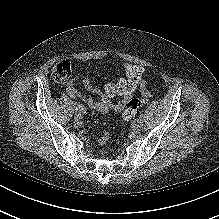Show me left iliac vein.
<instances>
[{"label": "left iliac vein", "instance_id": "obj_1", "mask_svg": "<svg viewBox=\"0 0 219 219\" xmlns=\"http://www.w3.org/2000/svg\"><path fill=\"white\" fill-rule=\"evenodd\" d=\"M144 118H138L136 121H135V125L137 128H142L144 126Z\"/></svg>", "mask_w": 219, "mask_h": 219}]
</instances>
